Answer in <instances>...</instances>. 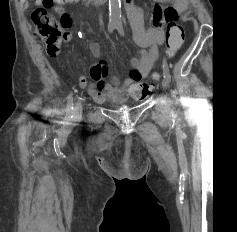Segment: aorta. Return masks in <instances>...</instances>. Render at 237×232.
<instances>
[{"instance_id":"762f6f07","label":"aorta","mask_w":237,"mask_h":232,"mask_svg":"<svg viewBox=\"0 0 237 232\" xmlns=\"http://www.w3.org/2000/svg\"><path fill=\"white\" fill-rule=\"evenodd\" d=\"M109 12L111 23L121 22V0H109Z\"/></svg>"}]
</instances>
